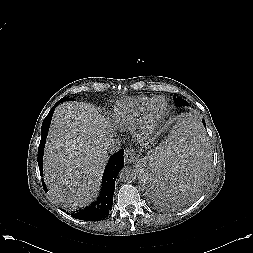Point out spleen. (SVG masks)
<instances>
[{
    "label": "spleen",
    "instance_id": "spleen-1",
    "mask_svg": "<svg viewBox=\"0 0 253 253\" xmlns=\"http://www.w3.org/2000/svg\"><path fill=\"white\" fill-rule=\"evenodd\" d=\"M200 123L189 118L169 131L154 153L146 174V187L158 201L179 203L198 191L203 177L206 142Z\"/></svg>",
    "mask_w": 253,
    "mask_h": 253
}]
</instances>
